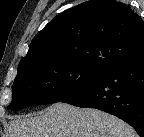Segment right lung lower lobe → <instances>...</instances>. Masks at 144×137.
I'll list each match as a JSON object with an SVG mask.
<instances>
[{
  "instance_id": "right-lung-lower-lobe-1",
  "label": "right lung lower lobe",
  "mask_w": 144,
  "mask_h": 137,
  "mask_svg": "<svg viewBox=\"0 0 144 137\" xmlns=\"http://www.w3.org/2000/svg\"><path fill=\"white\" fill-rule=\"evenodd\" d=\"M61 102L115 115L144 137V52L117 64Z\"/></svg>"
}]
</instances>
